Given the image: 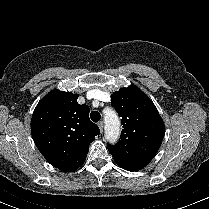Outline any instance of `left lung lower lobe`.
Returning a JSON list of instances; mask_svg holds the SVG:
<instances>
[{"instance_id":"0a47b994","label":"left lung lower lobe","mask_w":209,"mask_h":209,"mask_svg":"<svg viewBox=\"0 0 209 209\" xmlns=\"http://www.w3.org/2000/svg\"><path fill=\"white\" fill-rule=\"evenodd\" d=\"M115 162L122 167L123 169H126L128 171H138L145 167V165L139 164V163H133V162H123V161H116Z\"/></svg>"}]
</instances>
